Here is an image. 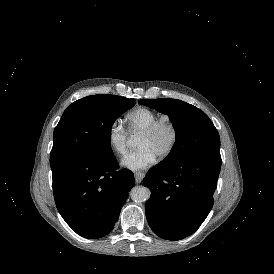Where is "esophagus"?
<instances>
[{
    "label": "esophagus",
    "mask_w": 274,
    "mask_h": 274,
    "mask_svg": "<svg viewBox=\"0 0 274 274\" xmlns=\"http://www.w3.org/2000/svg\"><path fill=\"white\" fill-rule=\"evenodd\" d=\"M144 177H145L144 173H142V172H136L135 173V181H136V183H141Z\"/></svg>",
    "instance_id": "1"
}]
</instances>
